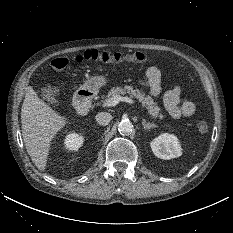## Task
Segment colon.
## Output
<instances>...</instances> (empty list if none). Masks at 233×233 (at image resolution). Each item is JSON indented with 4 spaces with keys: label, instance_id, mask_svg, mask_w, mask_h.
Wrapping results in <instances>:
<instances>
[{
    "label": "colon",
    "instance_id": "1",
    "mask_svg": "<svg viewBox=\"0 0 233 233\" xmlns=\"http://www.w3.org/2000/svg\"><path fill=\"white\" fill-rule=\"evenodd\" d=\"M147 59L144 52L138 51L132 54L123 55L121 53L102 52L98 50H87L81 54L75 55L72 58L63 56L57 57L51 61V66L56 70L65 68L71 61H95L100 63H120V62H143ZM58 86L54 84H47L42 90V97L48 104H53L58 98ZM197 130L200 134L208 133V124L204 120L197 123Z\"/></svg>",
    "mask_w": 233,
    "mask_h": 233
}]
</instances>
